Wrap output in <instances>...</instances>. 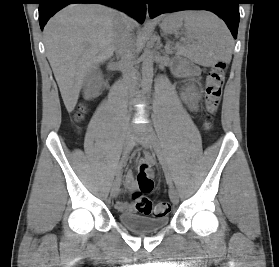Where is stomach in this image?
<instances>
[{
	"label": "stomach",
	"instance_id": "stomach-1",
	"mask_svg": "<svg viewBox=\"0 0 279 267\" xmlns=\"http://www.w3.org/2000/svg\"><path fill=\"white\" fill-rule=\"evenodd\" d=\"M182 24V21L176 17L175 14L166 16L160 23V27L164 32H173L178 29Z\"/></svg>",
	"mask_w": 279,
	"mask_h": 267
}]
</instances>
